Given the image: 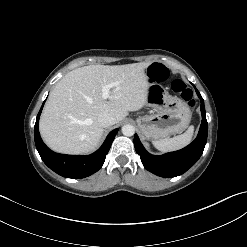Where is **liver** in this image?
<instances>
[{
	"mask_svg": "<svg viewBox=\"0 0 247 247\" xmlns=\"http://www.w3.org/2000/svg\"><path fill=\"white\" fill-rule=\"evenodd\" d=\"M149 63L126 65H88L67 73L54 87L43 109L39 130L54 151L86 154L99 145L104 129L98 123L102 113L122 121L129 111L147 104ZM110 89L108 101L102 87Z\"/></svg>",
	"mask_w": 247,
	"mask_h": 247,
	"instance_id": "1",
	"label": "liver"
}]
</instances>
